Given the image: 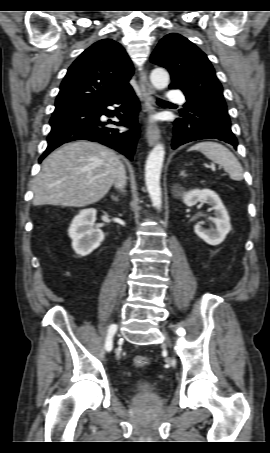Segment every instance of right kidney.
I'll return each instance as SVG.
<instances>
[{"mask_svg":"<svg viewBox=\"0 0 270 453\" xmlns=\"http://www.w3.org/2000/svg\"><path fill=\"white\" fill-rule=\"evenodd\" d=\"M96 213L97 211L93 208L80 211L68 229V235L72 239V248L81 257L89 255L104 240L103 231L94 228Z\"/></svg>","mask_w":270,"mask_h":453,"instance_id":"obj_1","label":"right kidney"}]
</instances>
